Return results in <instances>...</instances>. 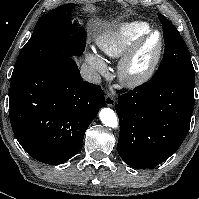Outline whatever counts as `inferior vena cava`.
<instances>
[{
  "mask_svg": "<svg viewBox=\"0 0 199 199\" xmlns=\"http://www.w3.org/2000/svg\"><path fill=\"white\" fill-rule=\"evenodd\" d=\"M80 72L84 80L94 83V84L101 83L100 75L90 66L82 65Z\"/></svg>",
  "mask_w": 199,
  "mask_h": 199,
  "instance_id": "obj_1",
  "label": "inferior vena cava"
}]
</instances>
